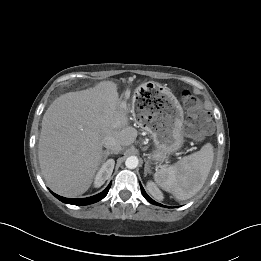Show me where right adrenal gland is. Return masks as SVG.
Segmentation results:
<instances>
[{"mask_svg":"<svg viewBox=\"0 0 261 261\" xmlns=\"http://www.w3.org/2000/svg\"><path fill=\"white\" fill-rule=\"evenodd\" d=\"M110 154H116L113 151L105 150L102 153V162H104Z\"/></svg>","mask_w":261,"mask_h":261,"instance_id":"1","label":"right adrenal gland"}]
</instances>
